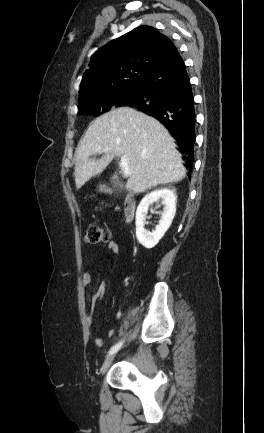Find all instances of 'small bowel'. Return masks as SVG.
<instances>
[{
  "label": "small bowel",
  "mask_w": 264,
  "mask_h": 433,
  "mask_svg": "<svg viewBox=\"0 0 264 433\" xmlns=\"http://www.w3.org/2000/svg\"><path fill=\"white\" fill-rule=\"evenodd\" d=\"M119 251H120L119 245H118L116 242H114V241H110V242L107 244V252H106V254L104 255L103 258H105V257H107V256L117 255V254L119 253ZM91 281H92L91 274L88 273V272H85V273L82 275V283H83V285L87 286V285H89V284L91 283ZM105 293H106V285H105V283H100V284L98 285V287L96 288L95 294H94V296H93V298H92V308H93L94 303L96 302V300H98V299L101 300V299L104 298ZM92 320H93V319H92V315L89 314V315L86 317V322H87V325H88L89 327L92 325ZM113 334H114V330H113V329L108 330L107 335H108L109 337H111ZM94 344H95L97 347H101V346H103V344H104V340H103V338H101V337H97V338H95V340H94Z\"/></svg>",
  "instance_id": "1"
}]
</instances>
